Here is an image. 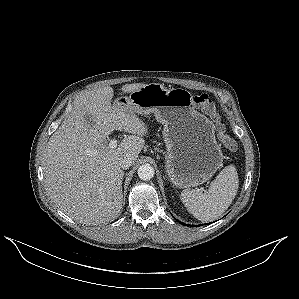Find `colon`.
<instances>
[{
	"mask_svg": "<svg viewBox=\"0 0 299 299\" xmlns=\"http://www.w3.org/2000/svg\"><path fill=\"white\" fill-rule=\"evenodd\" d=\"M194 101L214 121L218 132V137L224 146L230 150L235 149L236 144L234 140L226 133L224 124L216 110L213 99L208 94L201 93L194 97Z\"/></svg>",
	"mask_w": 299,
	"mask_h": 299,
	"instance_id": "1",
	"label": "colon"
}]
</instances>
